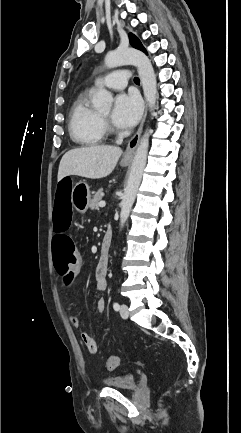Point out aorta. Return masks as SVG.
<instances>
[{"instance_id":"aorta-1","label":"aorta","mask_w":241,"mask_h":433,"mask_svg":"<svg viewBox=\"0 0 241 433\" xmlns=\"http://www.w3.org/2000/svg\"><path fill=\"white\" fill-rule=\"evenodd\" d=\"M105 65L108 68H114L125 64L137 66L138 74L142 83L144 95L149 109L152 111L155 107L157 98V81L154 69L148 57L135 49H116L108 53L105 57ZM113 101L112 95L106 89H99L92 99L94 107L101 111H108ZM149 147V132L146 131L140 140L136 149L128 182L124 190V195L120 203V226L123 227L127 221L131 208L136 198L138 188L141 183L144 168L146 166Z\"/></svg>"}]
</instances>
